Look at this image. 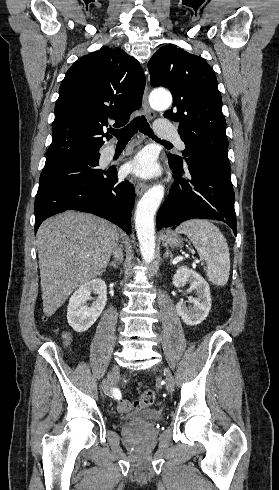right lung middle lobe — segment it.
<instances>
[{"label": "right lung middle lobe", "mask_w": 279, "mask_h": 490, "mask_svg": "<svg viewBox=\"0 0 279 490\" xmlns=\"http://www.w3.org/2000/svg\"><path fill=\"white\" fill-rule=\"evenodd\" d=\"M99 157H82L45 164L40 175L39 185L56 183L71 178L98 175L104 172L96 168L99 165Z\"/></svg>", "instance_id": "dd1d6c3e"}]
</instances>
